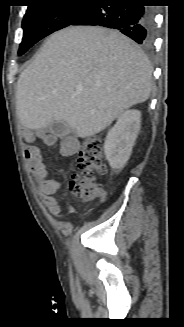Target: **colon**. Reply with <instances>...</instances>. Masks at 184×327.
<instances>
[{
    "mask_svg": "<svg viewBox=\"0 0 184 327\" xmlns=\"http://www.w3.org/2000/svg\"><path fill=\"white\" fill-rule=\"evenodd\" d=\"M102 149V142L97 137L87 138L81 145L77 159L79 172L72 176L70 186L73 194L82 201L91 202L103 195L94 182L96 175L105 172Z\"/></svg>",
    "mask_w": 184,
    "mask_h": 327,
    "instance_id": "obj_1",
    "label": "colon"
}]
</instances>
